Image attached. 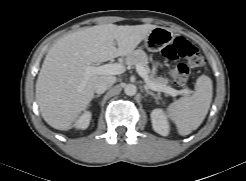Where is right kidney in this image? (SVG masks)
Returning a JSON list of instances; mask_svg holds the SVG:
<instances>
[{"label":"right kidney","instance_id":"right-kidney-1","mask_svg":"<svg viewBox=\"0 0 246 181\" xmlns=\"http://www.w3.org/2000/svg\"><path fill=\"white\" fill-rule=\"evenodd\" d=\"M91 120V113L89 111H85L75 122L74 126L77 129H86L89 126Z\"/></svg>","mask_w":246,"mask_h":181}]
</instances>
